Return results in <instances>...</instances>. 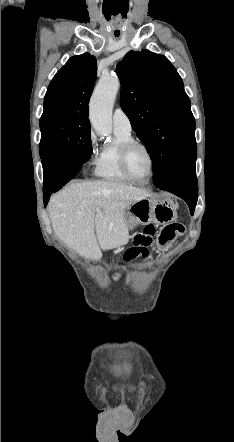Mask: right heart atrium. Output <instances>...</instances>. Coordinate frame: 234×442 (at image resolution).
<instances>
[{
	"label": "right heart atrium",
	"mask_w": 234,
	"mask_h": 442,
	"mask_svg": "<svg viewBox=\"0 0 234 442\" xmlns=\"http://www.w3.org/2000/svg\"><path fill=\"white\" fill-rule=\"evenodd\" d=\"M89 146H90L91 155L95 156L98 152V149H97V139L94 133H90Z\"/></svg>",
	"instance_id": "1"
}]
</instances>
